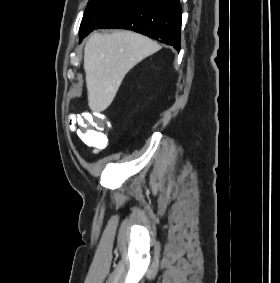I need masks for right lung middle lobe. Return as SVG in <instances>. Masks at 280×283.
<instances>
[{"instance_id": "1", "label": "right lung middle lobe", "mask_w": 280, "mask_h": 283, "mask_svg": "<svg viewBox=\"0 0 280 283\" xmlns=\"http://www.w3.org/2000/svg\"><path fill=\"white\" fill-rule=\"evenodd\" d=\"M136 0H89L80 25V39L97 28L101 22Z\"/></svg>"}]
</instances>
